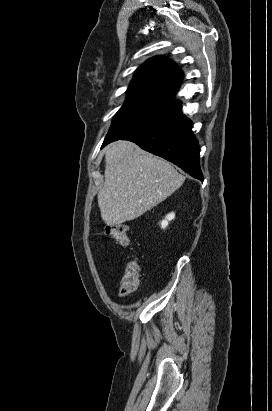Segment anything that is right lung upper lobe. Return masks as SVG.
<instances>
[{"label": "right lung upper lobe", "instance_id": "obj_1", "mask_svg": "<svg viewBox=\"0 0 272 411\" xmlns=\"http://www.w3.org/2000/svg\"><path fill=\"white\" fill-rule=\"evenodd\" d=\"M182 77V71L174 62L156 56L136 70L128 92L148 94L165 103L178 104L182 108L181 102L174 100Z\"/></svg>", "mask_w": 272, "mask_h": 411}]
</instances>
